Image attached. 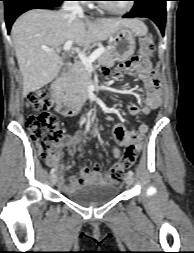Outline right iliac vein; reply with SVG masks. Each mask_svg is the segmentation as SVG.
<instances>
[{
	"label": "right iliac vein",
	"instance_id": "right-iliac-vein-1",
	"mask_svg": "<svg viewBox=\"0 0 194 253\" xmlns=\"http://www.w3.org/2000/svg\"><path fill=\"white\" fill-rule=\"evenodd\" d=\"M50 181H51V183H52L53 185H55L56 182H57V175H56V174H52V175L50 176Z\"/></svg>",
	"mask_w": 194,
	"mask_h": 253
}]
</instances>
